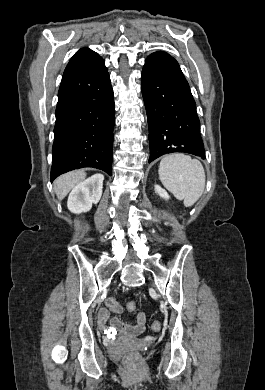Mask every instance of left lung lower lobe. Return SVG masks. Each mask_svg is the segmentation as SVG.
Here are the masks:
<instances>
[{"mask_svg": "<svg viewBox=\"0 0 265 390\" xmlns=\"http://www.w3.org/2000/svg\"><path fill=\"white\" fill-rule=\"evenodd\" d=\"M142 94L149 124V163L176 152L205 159L196 104L173 57L155 52L146 58Z\"/></svg>", "mask_w": 265, "mask_h": 390, "instance_id": "obj_1", "label": "left lung lower lobe"}]
</instances>
